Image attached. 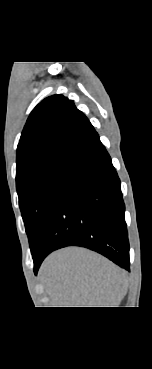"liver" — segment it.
<instances>
[{"mask_svg":"<svg viewBox=\"0 0 152 369\" xmlns=\"http://www.w3.org/2000/svg\"><path fill=\"white\" fill-rule=\"evenodd\" d=\"M40 276L54 307H116L128 289L127 274L103 256L79 247L51 254Z\"/></svg>","mask_w":152,"mask_h":369,"instance_id":"obj_1","label":"liver"}]
</instances>
